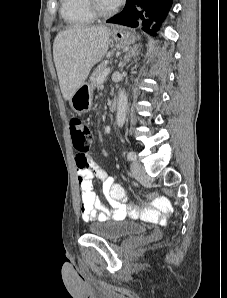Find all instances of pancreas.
<instances>
[{"label": "pancreas", "instance_id": "obj_1", "mask_svg": "<svg viewBox=\"0 0 227 298\" xmlns=\"http://www.w3.org/2000/svg\"><path fill=\"white\" fill-rule=\"evenodd\" d=\"M106 67H107V64L105 62H102L93 71L92 75L90 76V85L92 89H95L99 86L98 77L104 72Z\"/></svg>", "mask_w": 227, "mask_h": 298}]
</instances>
